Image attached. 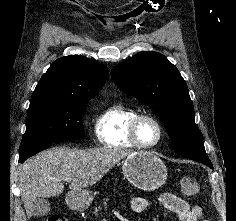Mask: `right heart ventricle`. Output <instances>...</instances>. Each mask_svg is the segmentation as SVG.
<instances>
[{
    "mask_svg": "<svg viewBox=\"0 0 236 221\" xmlns=\"http://www.w3.org/2000/svg\"><path fill=\"white\" fill-rule=\"evenodd\" d=\"M139 114L125 103H114L105 108L95 122V133L99 142L108 148L133 149L136 146L128 137L129 124Z\"/></svg>",
    "mask_w": 236,
    "mask_h": 221,
    "instance_id": "obj_1",
    "label": "right heart ventricle"
}]
</instances>
